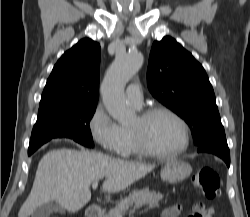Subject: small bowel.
<instances>
[{
	"instance_id": "c3829d8e",
	"label": "small bowel",
	"mask_w": 250,
	"mask_h": 217,
	"mask_svg": "<svg viewBox=\"0 0 250 217\" xmlns=\"http://www.w3.org/2000/svg\"><path fill=\"white\" fill-rule=\"evenodd\" d=\"M181 213V207L179 205H172L164 209L162 212V217H178ZM204 217H212L208 212Z\"/></svg>"
}]
</instances>
